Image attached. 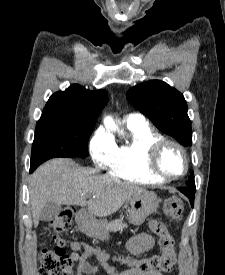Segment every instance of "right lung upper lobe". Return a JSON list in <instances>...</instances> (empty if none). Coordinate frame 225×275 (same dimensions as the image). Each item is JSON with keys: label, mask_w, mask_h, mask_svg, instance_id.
<instances>
[{"label": "right lung upper lobe", "mask_w": 225, "mask_h": 275, "mask_svg": "<svg viewBox=\"0 0 225 275\" xmlns=\"http://www.w3.org/2000/svg\"><path fill=\"white\" fill-rule=\"evenodd\" d=\"M107 98L104 90L89 91L73 84L66 91L56 92L50 97L40 120L65 119L95 123Z\"/></svg>", "instance_id": "right-lung-upper-lobe-1"}]
</instances>
